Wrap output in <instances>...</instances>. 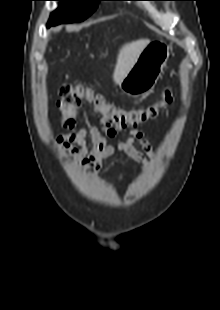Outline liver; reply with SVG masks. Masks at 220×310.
<instances>
[{
	"label": "liver",
	"mask_w": 220,
	"mask_h": 310,
	"mask_svg": "<svg viewBox=\"0 0 220 310\" xmlns=\"http://www.w3.org/2000/svg\"><path fill=\"white\" fill-rule=\"evenodd\" d=\"M150 41L148 39H140L127 43L119 51L117 63L113 73V79L116 84L125 78L133 65L136 63L139 55L145 49Z\"/></svg>",
	"instance_id": "1"
}]
</instances>
